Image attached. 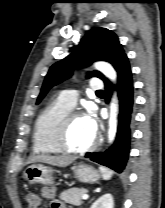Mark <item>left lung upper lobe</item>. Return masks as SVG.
<instances>
[{
  "instance_id": "obj_1",
  "label": "left lung upper lobe",
  "mask_w": 165,
  "mask_h": 208,
  "mask_svg": "<svg viewBox=\"0 0 165 208\" xmlns=\"http://www.w3.org/2000/svg\"><path fill=\"white\" fill-rule=\"evenodd\" d=\"M124 57L126 54L115 33L101 27L90 30L69 56L51 66L43 82L37 104L51 87L70 77L75 68H83L94 61L102 60L111 63L116 69ZM87 77L106 80L99 71H92Z\"/></svg>"
}]
</instances>
